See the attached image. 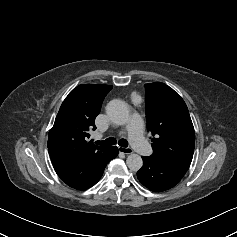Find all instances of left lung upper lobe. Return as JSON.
<instances>
[{
  "instance_id": "1",
  "label": "left lung upper lobe",
  "mask_w": 237,
  "mask_h": 237,
  "mask_svg": "<svg viewBox=\"0 0 237 237\" xmlns=\"http://www.w3.org/2000/svg\"><path fill=\"white\" fill-rule=\"evenodd\" d=\"M147 128L156 161L187 171L195 146L194 127L183 99L161 82L145 84Z\"/></svg>"
}]
</instances>
